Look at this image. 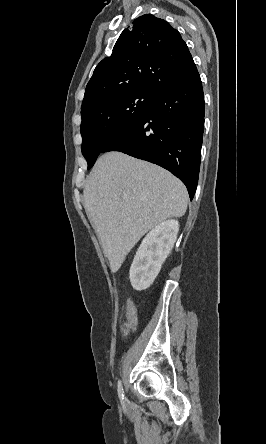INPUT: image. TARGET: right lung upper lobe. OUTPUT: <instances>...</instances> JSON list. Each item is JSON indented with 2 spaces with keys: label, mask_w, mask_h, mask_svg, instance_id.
I'll use <instances>...</instances> for the list:
<instances>
[{
  "label": "right lung upper lobe",
  "mask_w": 266,
  "mask_h": 444,
  "mask_svg": "<svg viewBox=\"0 0 266 444\" xmlns=\"http://www.w3.org/2000/svg\"><path fill=\"white\" fill-rule=\"evenodd\" d=\"M197 72L179 32L167 21L145 14L123 30L111 56L95 68L81 111L97 100L122 91L157 94Z\"/></svg>",
  "instance_id": "cb5924a9"
}]
</instances>
